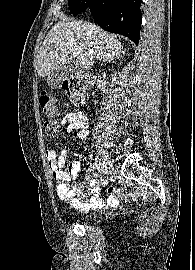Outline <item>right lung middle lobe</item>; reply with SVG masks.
I'll list each match as a JSON object with an SVG mask.
<instances>
[{"label":"right lung middle lobe","instance_id":"obj_1","mask_svg":"<svg viewBox=\"0 0 195 270\" xmlns=\"http://www.w3.org/2000/svg\"><path fill=\"white\" fill-rule=\"evenodd\" d=\"M87 1L88 0H68L69 9L73 16H76L88 8Z\"/></svg>","mask_w":195,"mask_h":270}]
</instances>
